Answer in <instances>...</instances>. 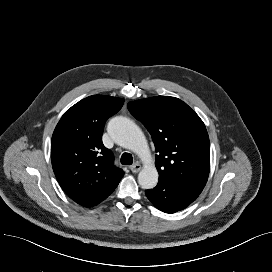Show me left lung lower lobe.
Here are the masks:
<instances>
[{
	"label": "left lung lower lobe",
	"mask_w": 272,
	"mask_h": 272,
	"mask_svg": "<svg viewBox=\"0 0 272 272\" xmlns=\"http://www.w3.org/2000/svg\"><path fill=\"white\" fill-rule=\"evenodd\" d=\"M145 193L156 208L165 213H175L190 205L201 190L181 182L159 180L154 189Z\"/></svg>",
	"instance_id": "1"
}]
</instances>
